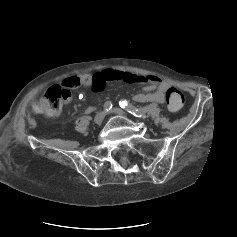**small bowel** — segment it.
I'll list each match as a JSON object with an SVG mask.
<instances>
[{
  "instance_id": "c3829d8e",
  "label": "small bowel",
  "mask_w": 237,
  "mask_h": 237,
  "mask_svg": "<svg viewBox=\"0 0 237 237\" xmlns=\"http://www.w3.org/2000/svg\"><path fill=\"white\" fill-rule=\"evenodd\" d=\"M76 80L78 85L91 87L94 92L103 90L107 83L111 81H123L126 83H142L145 85L144 93L136 94L134 99L137 102L164 103L165 95L169 88V83L154 74L139 75L132 72H125L115 69H105L100 73L90 75L85 74L79 77H72L67 80ZM77 85V86H78Z\"/></svg>"
}]
</instances>
